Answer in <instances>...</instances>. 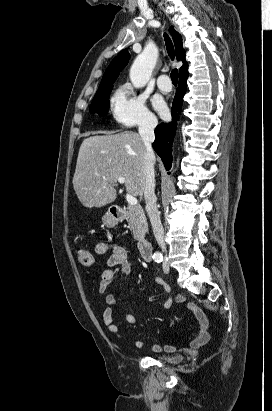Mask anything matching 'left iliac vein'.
<instances>
[{
    "label": "left iliac vein",
    "mask_w": 272,
    "mask_h": 411,
    "mask_svg": "<svg viewBox=\"0 0 272 411\" xmlns=\"http://www.w3.org/2000/svg\"><path fill=\"white\" fill-rule=\"evenodd\" d=\"M163 271L164 273H168L169 272V265L167 262H164L163 264Z\"/></svg>",
    "instance_id": "obj_1"
}]
</instances>
